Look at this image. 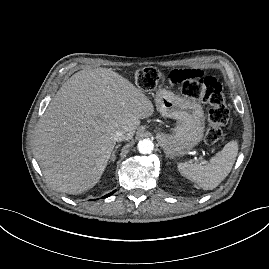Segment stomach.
I'll use <instances>...</instances> for the list:
<instances>
[{
  "label": "stomach",
  "instance_id": "1",
  "mask_svg": "<svg viewBox=\"0 0 269 269\" xmlns=\"http://www.w3.org/2000/svg\"><path fill=\"white\" fill-rule=\"evenodd\" d=\"M155 103L164 117L177 121L172 134L157 133L158 144L169 158L187 154L204 137L205 116L202 106L166 89L157 91Z\"/></svg>",
  "mask_w": 269,
  "mask_h": 269
}]
</instances>
